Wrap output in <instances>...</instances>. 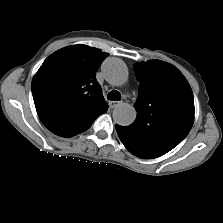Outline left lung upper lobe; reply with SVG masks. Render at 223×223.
Instances as JSON below:
<instances>
[{"label": "left lung upper lobe", "mask_w": 223, "mask_h": 223, "mask_svg": "<svg viewBox=\"0 0 223 223\" xmlns=\"http://www.w3.org/2000/svg\"><path fill=\"white\" fill-rule=\"evenodd\" d=\"M140 82L135 103L137 118L130 126H119L124 145L157 157L177 146L194 122V98L185 77L174 66L148 61L134 65Z\"/></svg>", "instance_id": "left-lung-upper-lobe-1"}]
</instances>
